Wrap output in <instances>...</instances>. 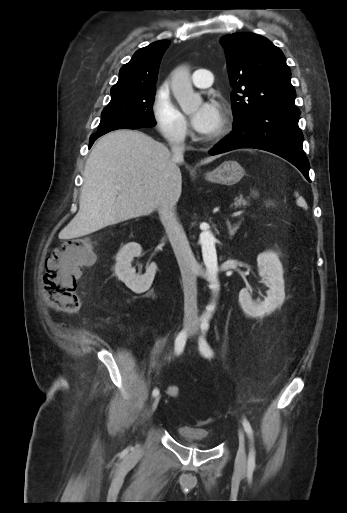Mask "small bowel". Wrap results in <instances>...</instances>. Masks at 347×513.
I'll return each mask as SVG.
<instances>
[{"label":"small bowel","instance_id":"obj_1","mask_svg":"<svg viewBox=\"0 0 347 513\" xmlns=\"http://www.w3.org/2000/svg\"><path fill=\"white\" fill-rule=\"evenodd\" d=\"M161 350V344H155L152 348H151V353L152 355H158L159 352Z\"/></svg>","mask_w":347,"mask_h":513}]
</instances>
